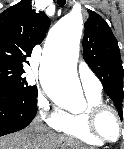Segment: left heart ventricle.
Listing matches in <instances>:
<instances>
[{"label":"left heart ventricle","instance_id":"1","mask_svg":"<svg viewBox=\"0 0 124 149\" xmlns=\"http://www.w3.org/2000/svg\"><path fill=\"white\" fill-rule=\"evenodd\" d=\"M100 131L109 139H116L119 134V127L114 115L110 112L104 113L99 120Z\"/></svg>","mask_w":124,"mask_h":149}]
</instances>
